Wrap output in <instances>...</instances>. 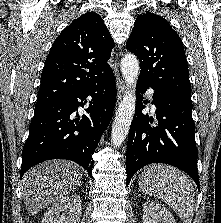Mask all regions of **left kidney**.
<instances>
[{
    "label": "left kidney",
    "instance_id": "left-kidney-1",
    "mask_svg": "<svg viewBox=\"0 0 221 223\" xmlns=\"http://www.w3.org/2000/svg\"><path fill=\"white\" fill-rule=\"evenodd\" d=\"M143 223H176L168 209L156 201H148L143 208Z\"/></svg>",
    "mask_w": 221,
    "mask_h": 223
}]
</instances>
